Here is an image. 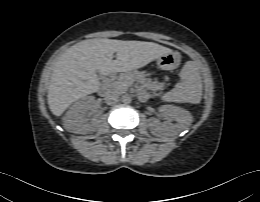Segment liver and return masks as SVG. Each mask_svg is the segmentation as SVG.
Wrapping results in <instances>:
<instances>
[{
    "label": "liver",
    "instance_id": "obj_1",
    "mask_svg": "<svg viewBox=\"0 0 260 202\" xmlns=\"http://www.w3.org/2000/svg\"><path fill=\"white\" fill-rule=\"evenodd\" d=\"M172 50L154 42L89 39L71 46L56 62L48 88V105L55 116L100 88L97 73L141 68ZM116 59L113 60V54Z\"/></svg>",
    "mask_w": 260,
    "mask_h": 202
}]
</instances>
